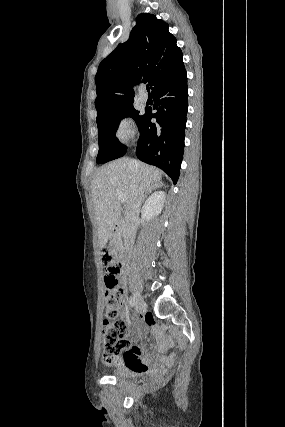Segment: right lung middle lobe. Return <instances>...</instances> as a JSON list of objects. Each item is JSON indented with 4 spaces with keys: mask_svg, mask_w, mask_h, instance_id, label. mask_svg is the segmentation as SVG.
Here are the masks:
<instances>
[{
    "mask_svg": "<svg viewBox=\"0 0 285 427\" xmlns=\"http://www.w3.org/2000/svg\"><path fill=\"white\" fill-rule=\"evenodd\" d=\"M138 114L139 111L135 110L133 105H130L97 124L99 152L96 161L98 164L106 163L126 154L127 147L119 142L115 132L118 129L119 122L125 117L134 118L140 128L144 116H139Z\"/></svg>",
    "mask_w": 285,
    "mask_h": 427,
    "instance_id": "right-lung-middle-lobe-1",
    "label": "right lung middle lobe"
}]
</instances>
